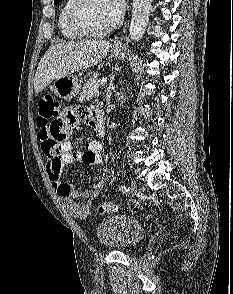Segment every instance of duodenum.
Masks as SVG:
<instances>
[{"instance_id":"410a0bca","label":"duodenum","mask_w":233,"mask_h":294,"mask_svg":"<svg viewBox=\"0 0 233 294\" xmlns=\"http://www.w3.org/2000/svg\"><path fill=\"white\" fill-rule=\"evenodd\" d=\"M96 118H97V133L99 136H104L105 130H104V125H103V116L102 114L97 111L96 113Z\"/></svg>"}]
</instances>
